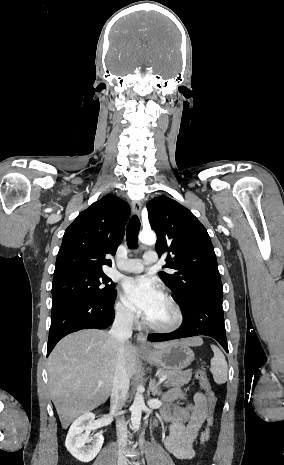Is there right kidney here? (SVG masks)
Masks as SVG:
<instances>
[{
  "label": "right kidney",
  "instance_id": "obj_1",
  "mask_svg": "<svg viewBox=\"0 0 284 465\" xmlns=\"http://www.w3.org/2000/svg\"><path fill=\"white\" fill-rule=\"evenodd\" d=\"M95 419L94 413H85L78 417L74 423H72L68 435L66 437L65 445L69 453L82 461V463H90L98 455L103 443L104 437L102 435H86L84 431H90L92 429V423ZM86 443H92V445H86Z\"/></svg>",
  "mask_w": 284,
  "mask_h": 465
}]
</instances>
